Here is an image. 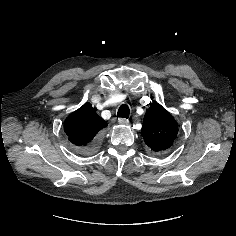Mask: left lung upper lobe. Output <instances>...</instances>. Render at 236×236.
<instances>
[{
    "label": "left lung upper lobe",
    "instance_id": "1",
    "mask_svg": "<svg viewBox=\"0 0 236 236\" xmlns=\"http://www.w3.org/2000/svg\"><path fill=\"white\" fill-rule=\"evenodd\" d=\"M178 124L172 115L160 104L154 102L146 111L142 136L147 146L154 152L169 149L177 137Z\"/></svg>",
    "mask_w": 236,
    "mask_h": 236
}]
</instances>
